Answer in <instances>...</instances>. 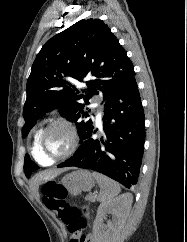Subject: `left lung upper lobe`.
Returning a JSON list of instances; mask_svg holds the SVG:
<instances>
[{
    "mask_svg": "<svg viewBox=\"0 0 187 242\" xmlns=\"http://www.w3.org/2000/svg\"><path fill=\"white\" fill-rule=\"evenodd\" d=\"M135 76L134 66L110 28L100 19L80 20L48 40L32 65L27 80V99L23 108L26 137L46 112L59 109L77 126L80 142L93 127L88 119L89 99L102 93L106 102ZM88 86L76 88L77 81ZM84 102V103H83ZM38 166L28 155L24 160L27 177Z\"/></svg>",
    "mask_w": 187,
    "mask_h": 242,
    "instance_id": "left-lung-upper-lobe-1",
    "label": "left lung upper lobe"
}]
</instances>
